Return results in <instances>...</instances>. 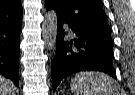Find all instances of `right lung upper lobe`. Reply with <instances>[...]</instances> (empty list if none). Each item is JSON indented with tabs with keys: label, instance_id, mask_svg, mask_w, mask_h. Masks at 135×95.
Segmentation results:
<instances>
[{
	"label": "right lung upper lobe",
	"instance_id": "cb5924a9",
	"mask_svg": "<svg viewBox=\"0 0 135 95\" xmlns=\"http://www.w3.org/2000/svg\"><path fill=\"white\" fill-rule=\"evenodd\" d=\"M22 16L20 0H0V20L16 19Z\"/></svg>",
	"mask_w": 135,
	"mask_h": 95
}]
</instances>
